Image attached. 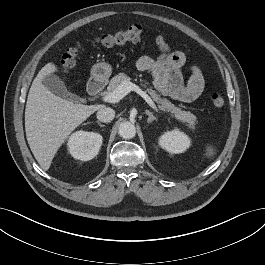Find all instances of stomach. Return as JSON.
Masks as SVG:
<instances>
[{"label":"stomach","instance_id":"0dacf381","mask_svg":"<svg viewBox=\"0 0 265 265\" xmlns=\"http://www.w3.org/2000/svg\"><path fill=\"white\" fill-rule=\"evenodd\" d=\"M112 73V67L107 62H99L91 69V79L98 83H105Z\"/></svg>","mask_w":265,"mask_h":265}]
</instances>
